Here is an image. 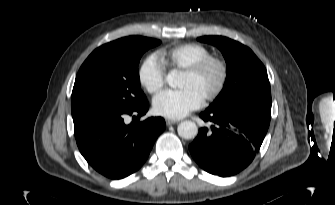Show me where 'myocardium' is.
Masks as SVG:
<instances>
[{"label": "myocardium", "instance_id": "myocardium-1", "mask_svg": "<svg viewBox=\"0 0 335 205\" xmlns=\"http://www.w3.org/2000/svg\"><path fill=\"white\" fill-rule=\"evenodd\" d=\"M213 65L217 66L219 69V79L214 89L203 96V98L206 100H213L217 98L226 86L229 76V69L225 60L220 57L210 55L196 62L192 66L184 69V73L193 77H198Z\"/></svg>", "mask_w": 335, "mask_h": 205}]
</instances>
